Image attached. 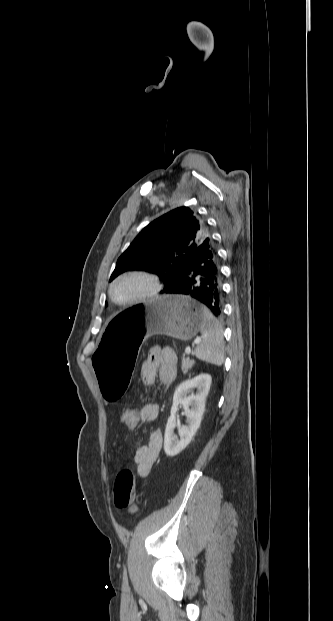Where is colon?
I'll return each mask as SVG.
<instances>
[{
  "mask_svg": "<svg viewBox=\"0 0 333 621\" xmlns=\"http://www.w3.org/2000/svg\"><path fill=\"white\" fill-rule=\"evenodd\" d=\"M121 421L130 429L136 428L140 423V409L131 406L125 407L121 414ZM114 503L118 509L125 510L129 514L137 511L135 504V477L128 468L122 469L116 476Z\"/></svg>",
  "mask_w": 333,
  "mask_h": 621,
  "instance_id": "obj_1",
  "label": "colon"
}]
</instances>
